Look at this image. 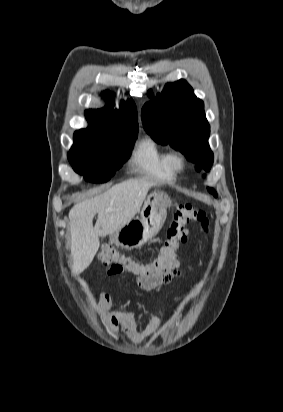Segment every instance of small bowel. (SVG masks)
<instances>
[{
    "instance_id": "c3829d8e",
    "label": "small bowel",
    "mask_w": 283,
    "mask_h": 412,
    "mask_svg": "<svg viewBox=\"0 0 283 412\" xmlns=\"http://www.w3.org/2000/svg\"><path fill=\"white\" fill-rule=\"evenodd\" d=\"M179 275V260L176 255L173 259L170 271L159 280L154 281L136 275V283L141 289L151 290L170 282L173 278H176ZM97 313L110 332L115 333L121 330L136 341L141 340L145 336L157 333L162 326L160 318L154 314L148 315V322L143 326H139L137 323V314L135 312L122 309L112 310V299L105 291H102L99 294Z\"/></svg>"
}]
</instances>
